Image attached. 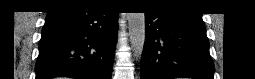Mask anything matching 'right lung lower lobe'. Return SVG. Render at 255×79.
<instances>
[{
	"label": "right lung lower lobe",
	"instance_id": "98d812e1",
	"mask_svg": "<svg viewBox=\"0 0 255 79\" xmlns=\"http://www.w3.org/2000/svg\"><path fill=\"white\" fill-rule=\"evenodd\" d=\"M117 17V12L101 5L48 12L39 42L36 79H111Z\"/></svg>",
	"mask_w": 255,
	"mask_h": 79
}]
</instances>
